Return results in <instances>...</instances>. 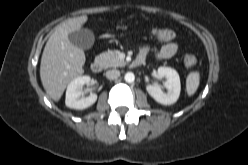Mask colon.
<instances>
[{
    "mask_svg": "<svg viewBox=\"0 0 248 165\" xmlns=\"http://www.w3.org/2000/svg\"><path fill=\"white\" fill-rule=\"evenodd\" d=\"M153 34L160 41H170L176 37L175 32L169 29H155ZM184 64L187 68H192L197 64V59L193 54H187L184 57Z\"/></svg>",
    "mask_w": 248,
    "mask_h": 165,
    "instance_id": "5ec220e1",
    "label": "colon"
}]
</instances>
